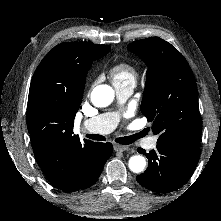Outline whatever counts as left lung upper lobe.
Wrapping results in <instances>:
<instances>
[{
    "mask_svg": "<svg viewBox=\"0 0 221 221\" xmlns=\"http://www.w3.org/2000/svg\"><path fill=\"white\" fill-rule=\"evenodd\" d=\"M148 70L141 112L152 122L157 143L199 146L202 119L192 70L179 51L159 37L128 45Z\"/></svg>",
    "mask_w": 221,
    "mask_h": 221,
    "instance_id": "left-lung-upper-lobe-1",
    "label": "left lung upper lobe"
}]
</instances>
